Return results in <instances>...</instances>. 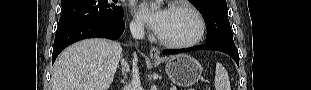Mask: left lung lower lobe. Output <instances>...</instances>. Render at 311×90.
<instances>
[{
	"instance_id": "obj_1",
	"label": "left lung lower lobe",
	"mask_w": 311,
	"mask_h": 90,
	"mask_svg": "<svg viewBox=\"0 0 311 90\" xmlns=\"http://www.w3.org/2000/svg\"><path fill=\"white\" fill-rule=\"evenodd\" d=\"M200 49L224 52V53L230 55L235 60V62L239 65V54H238V50L235 47V45H228V44H224V43H206V44L195 46L192 48L179 49V50L167 49V50L163 51V54L164 55L178 54V53H182V52H187V51H192V50H200Z\"/></svg>"
}]
</instances>
